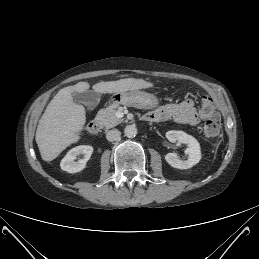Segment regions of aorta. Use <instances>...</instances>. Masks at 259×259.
I'll use <instances>...</instances> for the list:
<instances>
[{"instance_id":"762f6f07","label":"aorta","mask_w":259,"mask_h":259,"mask_svg":"<svg viewBox=\"0 0 259 259\" xmlns=\"http://www.w3.org/2000/svg\"><path fill=\"white\" fill-rule=\"evenodd\" d=\"M124 134L128 138H134L137 135V128L135 125H127L124 129Z\"/></svg>"}]
</instances>
